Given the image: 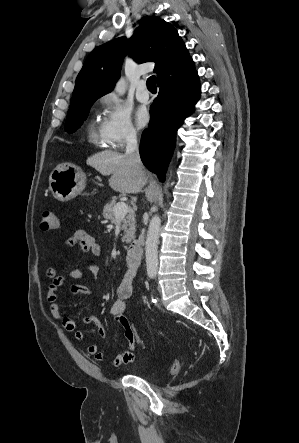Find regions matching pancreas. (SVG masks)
I'll return each instance as SVG.
<instances>
[{"label": "pancreas", "mask_w": 299, "mask_h": 443, "mask_svg": "<svg viewBox=\"0 0 299 443\" xmlns=\"http://www.w3.org/2000/svg\"><path fill=\"white\" fill-rule=\"evenodd\" d=\"M116 201L112 200L105 204L103 208V217L109 220L112 224H116L118 221L122 223V230L124 231V236L122 237V242L130 243L135 239L136 225L135 216L133 212H130L126 217L122 219H117L114 214V207Z\"/></svg>", "instance_id": "cf45deb5"}]
</instances>
